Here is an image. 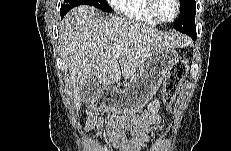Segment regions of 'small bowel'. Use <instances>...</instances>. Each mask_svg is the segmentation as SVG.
I'll use <instances>...</instances> for the list:
<instances>
[{"instance_id":"obj_1","label":"small bowel","mask_w":231,"mask_h":151,"mask_svg":"<svg viewBox=\"0 0 231 151\" xmlns=\"http://www.w3.org/2000/svg\"><path fill=\"white\" fill-rule=\"evenodd\" d=\"M158 100H154L141 115L131 119L112 116L106 120L90 117L88 128L101 129L106 137V146L119 151H142L148 142V134L160 123Z\"/></svg>"}]
</instances>
